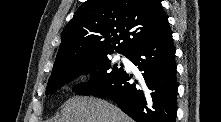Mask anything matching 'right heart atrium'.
<instances>
[{
    "label": "right heart atrium",
    "instance_id": "1",
    "mask_svg": "<svg viewBox=\"0 0 221 122\" xmlns=\"http://www.w3.org/2000/svg\"><path fill=\"white\" fill-rule=\"evenodd\" d=\"M91 79H92V74L89 72H85L81 76V81L83 83H89L91 81Z\"/></svg>",
    "mask_w": 221,
    "mask_h": 122
}]
</instances>
